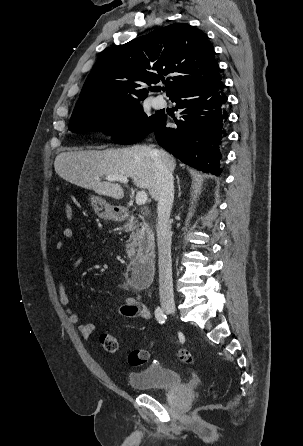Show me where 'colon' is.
I'll return each instance as SVG.
<instances>
[{"label":"colon","mask_w":303,"mask_h":446,"mask_svg":"<svg viewBox=\"0 0 303 446\" xmlns=\"http://www.w3.org/2000/svg\"><path fill=\"white\" fill-rule=\"evenodd\" d=\"M65 215L68 220L72 219L73 211L70 205L65 206ZM100 342L103 348L109 353H114L118 348L116 337L110 333H103L100 336ZM178 358L181 362L187 365H192L195 362L194 356L187 350H181L178 354ZM148 359L149 353L143 349L133 350L128 356V362L133 366L144 365L147 363Z\"/></svg>","instance_id":"colon-1"}]
</instances>
